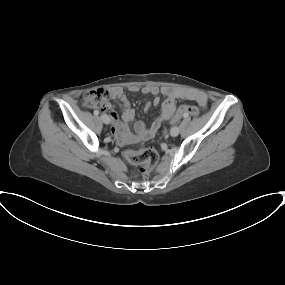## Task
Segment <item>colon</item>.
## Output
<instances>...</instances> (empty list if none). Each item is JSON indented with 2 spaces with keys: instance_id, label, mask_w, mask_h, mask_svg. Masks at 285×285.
Segmentation results:
<instances>
[{
  "instance_id": "colon-1",
  "label": "colon",
  "mask_w": 285,
  "mask_h": 285,
  "mask_svg": "<svg viewBox=\"0 0 285 285\" xmlns=\"http://www.w3.org/2000/svg\"><path fill=\"white\" fill-rule=\"evenodd\" d=\"M111 94L106 89H95L84 93L82 97V105L85 108L107 109L110 107ZM199 109L196 106H182L173 120H178L181 116H196ZM125 158L133 164L139 166L137 174L146 176L151 173L158 161V152L153 147L140 148L136 150H126Z\"/></svg>"
}]
</instances>
